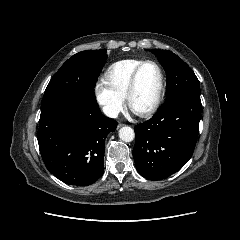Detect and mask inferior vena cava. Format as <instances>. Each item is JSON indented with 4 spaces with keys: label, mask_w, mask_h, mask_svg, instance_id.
<instances>
[{
    "label": "inferior vena cava",
    "mask_w": 240,
    "mask_h": 240,
    "mask_svg": "<svg viewBox=\"0 0 240 240\" xmlns=\"http://www.w3.org/2000/svg\"><path fill=\"white\" fill-rule=\"evenodd\" d=\"M104 114L110 118H117L119 114V110L116 107L113 106H104L102 108Z\"/></svg>",
    "instance_id": "1"
}]
</instances>
